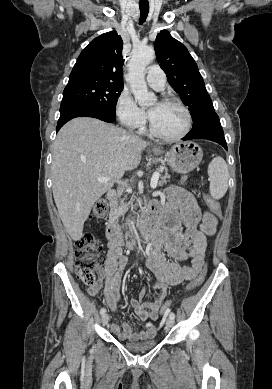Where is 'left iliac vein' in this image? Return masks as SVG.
<instances>
[{
  "label": "left iliac vein",
  "instance_id": "4c4485c4",
  "mask_svg": "<svg viewBox=\"0 0 272 389\" xmlns=\"http://www.w3.org/2000/svg\"><path fill=\"white\" fill-rule=\"evenodd\" d=\"M173 325H174V320L171 319V318H168V319L166 320V326H167L168 328H170V327H172Z\"/></svg>",
  "mask_w": 272,
  "mask_h": 389
}]
</instances>
